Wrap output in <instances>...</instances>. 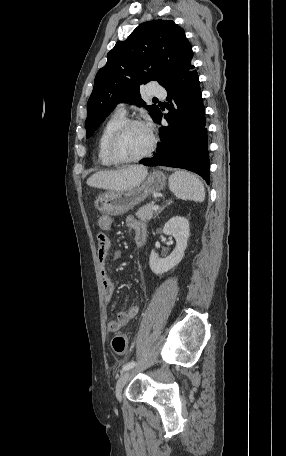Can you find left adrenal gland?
Segmentation results:
<instances>
[{"label": "left adrenal gland", "mask_w": 286, "mask_h": 456, "mask_svg": "<svg viewBox=\"0 0 286 456\" xmlns=\"http://www.w3.org/2000/svg\"><path fill=\"white\" fill-rule=\"evenodd\" d=\"M172 203V201H168L167 204L165 206H163L159 211L158 213L156 214V216H158L162 211L163 209L167 206V205H170Z\"/></svg>", "instance_id": "obj_1"}]
</instances>
